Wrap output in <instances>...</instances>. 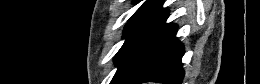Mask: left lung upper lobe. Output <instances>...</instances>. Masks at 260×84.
Segmentation results:
<instances>
[{
  "mask_svg": "<svg viewBox=\"0 0 260 84\" xmlns=\"http://www.w3.org/2000/svg\"><path fill=\"white\" fill-rule=\"evenodd\" d=\"M135 3L138 2V0L134 1ZM161 2V0H148L146 1L136 12L135 14L130 18L128 21L125 29L123 37H126V41L122 48L125 46V44L128 42V40L132 37V35L136 32V30L140 27V25L143 23V21L147 18V16L158 6V4ZM122 48L119 50L118 54L122 50Z\"/></svg>",
  "mask_w": 260,
  "mask_h": 84,
  "instance_id": "1",
  "label": "left lung upper lobe"
}]
</instances>
